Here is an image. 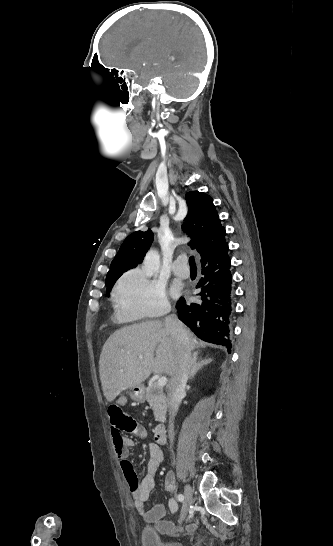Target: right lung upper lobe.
<instances>
[{
	"label": "right lung upper lobe",
	"mask_w": 333,
	"mask_h": 546,
	"mask_svg": "<svg viewBox=\"0 0 333 546\" xmlns=\"http://www.w3.org/2000/svg\"><path fill=\"white\" fill-rule=\"evenodd\" d=\"M185 199L188 215L182 230L191 237L189 245L199 252L201 262L208 261L227 244L225 228L220 223L213 200L209 195L191 191L186 194ZM152 242L153 233L150 229L145 232H133L124 240L111 262L107 275L136 267L142 262Z\"/></svg>",
	"instance_id": "1"
}]
</instances>
